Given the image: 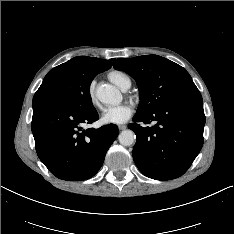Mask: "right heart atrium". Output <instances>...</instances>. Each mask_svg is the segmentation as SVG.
Returning a JSON list of instances; mask_svg holds the SVG:
<instances>
[{"label":"right heart atrium","instance_id":"1","mask_svg":"<svg viewBox=\"0 0 234 234\" xmlns=\"http://www.w3.org/2000/svg\"><path fill=\"white\" fill-rule=\"evenodd\" d=\"M87 94H88V99L90 103L93 106L98 107L99 104H98V100H97L96 93H95V82L90 83L88 90H87Z\"/></svg>","mask_w":234,"mask_h":234}]
</instances>
